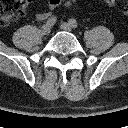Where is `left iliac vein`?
Returning <instances> with one entry per match:
<instances>
[{
    "label": "left iliac vein",
    "instance_id": "left-iliac-vein-1",
    "mask_svg": "<svg viewBox=\"0 0 128 128\" xmlns=\"http://www.w3.org/2000/svg\"><path fill=\"white\" fill-rule=\"evenodd\" d=\"M60 28L64 31L72 32V26L66 22L61 23Z\"/></svg>",
    "mask_w": 128,
    "mask_h": 128
}]
</instances>
